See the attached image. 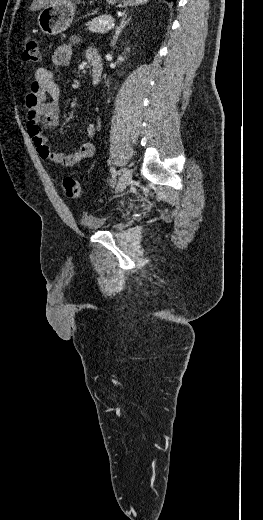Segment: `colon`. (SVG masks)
<instances>
[{"label":"colon","instance_id":"1","mask_svg":"<svg viewBox=\"0 0 263 520\" xmlns=\"http://www.w3.org/2000/svg\"><path fill=\"white\" fill-rule=\"evenodd\" d=\"M22 59L27 62H38L40 59L39 44L36 40L31 39L25 43L22 53ZM63 187L66 195L69 198H79L82 194V189L79 181L71 176L65 177L63 180Z\"/></svg>","mask_w":263,"mask_h":520}]
</instances>
